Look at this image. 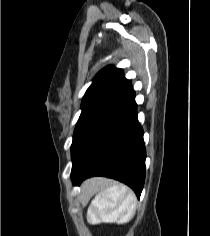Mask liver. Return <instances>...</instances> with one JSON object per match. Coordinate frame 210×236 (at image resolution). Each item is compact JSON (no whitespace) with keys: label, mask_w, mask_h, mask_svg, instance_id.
Here are the masks:
<instances>
[{"label":"liver","mask_w":210,"mask_h":236,"mask_svg":"<svg viewBox=\"0 0 210 236\" xmlns=\"http://www.w3.org/2000/svg\"><path fill=\"white\" fill-rule=\"evenodd\" d=\"M98 181V179H93V180H91V182H97Z\"/></svg>","instance_id":"liver-1"}]
</instances>
